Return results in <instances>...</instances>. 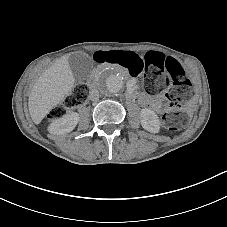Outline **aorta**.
I'll return each mask as SVG.
<instances>
[{"label":"aorta","instance_id":"aorta-1","mask_svg":"<svg viewBox=\"0 0 227 227\" xmlns=\"http://www.w3.org/2000/svg\"><path fill=\"white\" fill-rule=\"evenodd\" d=\"M97 87L105 95H115L123 91L124 78L117 70L106 69L100 74Z\"/></svg>","mask_w":227,"mask_h":227}]
</instances>
